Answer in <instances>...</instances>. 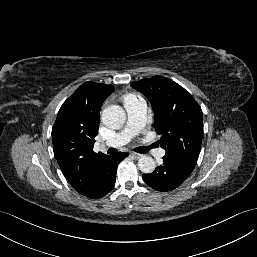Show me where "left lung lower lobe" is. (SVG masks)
<instances>
[{"mask_svg":"<svg viewBox=\"0 0 257 257\" xmlns=\"http://www.w3.org/2000/svg\"><path fill=\"white\" fill-rule=\"evenodd\" d=\"M192 171L190 167L164 156L163 163L154 172L143 174V180L153 189L166 192L179 187Z\"/></svg>","mask_w":257,"mask_h":257,"instance_id":"1","label":"left lung lower lobe"}]
</instances>
